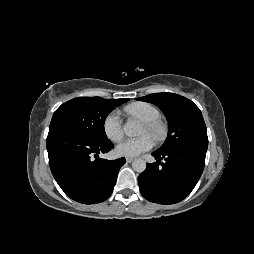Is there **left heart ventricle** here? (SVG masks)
Returning <instances> with one entry per match:
<instances>
[{
	"mask_svg": "<svg viewBox=\"0 0 254 254\" xmlns=\"http://www.w3.org/2000/svg\"><path fill=\"white\" fill-rule=\"evenodd\" d=\"M143 133H148V130L145 125H143Z\"/></svg>",
	"mask_w": 254,
	"mask_h": 254,
	"instance_id": "b2bd125f",
	"label": "left heart ventricle"
}]
</instances>
